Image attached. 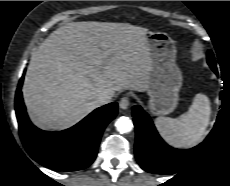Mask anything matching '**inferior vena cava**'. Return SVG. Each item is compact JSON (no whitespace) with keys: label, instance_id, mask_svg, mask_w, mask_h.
Masks as SVG:
<instances>
[{"label":"inferior vena cava","instance_id":"inferior-vena-cava-1","mask_svg":"<svg viewBox=\"0 0 230 186\" xmlns=\"http://www.w3.org/2000/svg\"><path fill=\"white\" fill-rule=\"evenodd\" d=\"M111 96L107 94H101L96 98L99 105H104L110 102Z\"/></svg>","mask_w":230,"mask_h":186}]
</instances>
